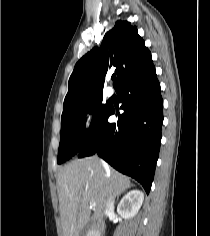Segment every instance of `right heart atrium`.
<instances>
[{"label": "right heart atrium", "instance_id": "obj_1", "mask_svg": "<svg viewBox=\"0 0 210 236\" xmlns=\"http://www.w3.org/2000/svg\"><path fill=\"white\" fill-rule=\"evenodd\" d=\"M97 113L93 107L87 108L82 114V128L86 136L93 134L96 126Z\"/></svg>", "mask_w": 210, "mask_h": 236}]
</instances>
